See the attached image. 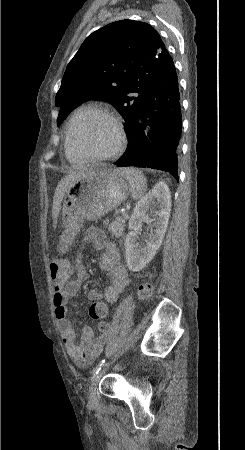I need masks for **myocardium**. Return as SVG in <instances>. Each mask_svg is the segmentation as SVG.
I'll return each instance as SVG.
<instances>
[{
    "label": "myocardium",
    "mask_w": 245,
    "mask_h": 450,
    "mask_svg": "<svg viewBox=\"0 0 245 450\" xmlns=\"http://www.w3.org/2000/svg\"><path fill=\"white\" fill-rule=\"evenodd\" d=\"M96 119H105V120L111 122L114 125V127L118 133L117 147L111 153L102 155V156H95V155L88 154L78 145L76 138H75V125L78 121H80V120L92 121V120H96ZM68 133H69L71 145L75 151H77L80 155H82L86 159H91V160H95V161H99V162L110 161V160H113V159L119 157L127 145V134H126L125 127L123 125L122 120L120 119L119 116H117L116 114H114L108 110L97 109L82 118H79V117L71 118L69 126H68Z\"/></svg>",
    "instance_id": "f54148a6"
}]
</instances>
